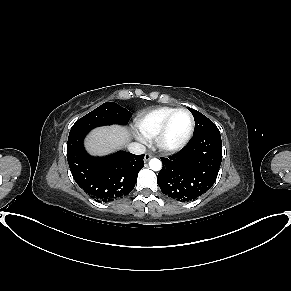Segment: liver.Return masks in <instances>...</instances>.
Segmentation results:
<instances>
[{
	"label": "liver",
	"instance_id": "1",
	"mask_svg": "<svg viewBox=\"0 0 291 291\" xmlns=\"http://www.w3.org/2000/svg\"><path fill=\"white\" fill-rule=\"evenodd\" d=\"M130 132L120 126L98 128L86 140V148L92 155H106L126 146L130 142Z\"/></svg>",
	"mask_w": 291,
	"mask_h": 291
}]
</instances>
